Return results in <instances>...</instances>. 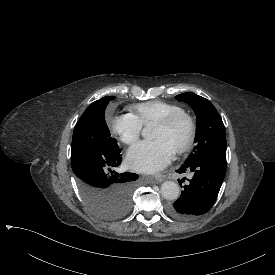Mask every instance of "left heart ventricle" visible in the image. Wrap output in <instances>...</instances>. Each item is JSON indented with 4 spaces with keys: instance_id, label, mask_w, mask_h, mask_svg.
Masks as SVG:
<instances>
[{
    "instance_id": "obj_1",
    "label": "left heart ventricle",
    "mask_w": 275,
    "mask_h": 275,
    "mask_svg": "<svg viewBox=\"0 0 275 275\" xmlns=\"http://www.w3.org/2000/svg\"><path fill=\"white\" fill-rule=\"evenodd\" d=\"M186 133V124L180 122L172 131H168L160 126H157L152 134L154 140H164L169 145L175 146L184 139Z\"/></svg>"
}]
</instances>
